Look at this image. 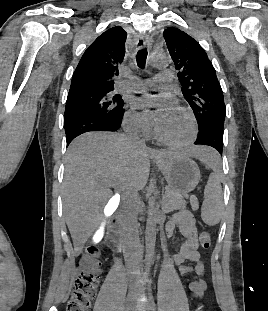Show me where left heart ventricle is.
<instances>
[{"label":"left heart ventricle","instance_id":"b2bd125f","mask_svg":"<svg viewBox=\"0 0 268 311\" xmlns=\"http://www.w3.org/2000/svg\"><path fill=\"white\" fill-rule=\"evenodd\" d=\"M158 127L162 135L171 140H181L185 138L190 131L187 117L178 109L160 122Z\"/></svg>","mask_w":268,"mask_h":311}]
</instances>
